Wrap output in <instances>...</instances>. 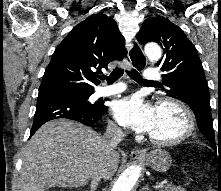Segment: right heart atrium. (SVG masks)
Segmentation results:
<instances>
[{"mask_svg": "<svg viewBox=\"0 0 221 191\" xmlns=\"http://www.w3.org/2000/svg\"><path fill=\"white\" fill-rule=\"evenodd\" d=\"M109 128H110V131L115 133V134H121L122 133L121 128L115 123H110Z\"/></svg>", "mask_w": 221, "mask_h": 191, "instance_id": "1", "label": "right heart atrium"}]
</instances>
